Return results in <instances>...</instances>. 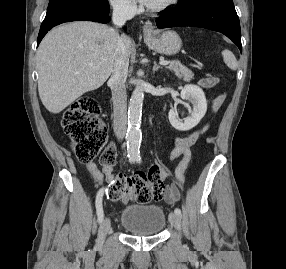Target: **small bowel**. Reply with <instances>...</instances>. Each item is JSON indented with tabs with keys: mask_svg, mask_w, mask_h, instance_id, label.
I'll return each mask as SVG.
<instances>
[{
	"mask_svg": "<svg viewBox=\"0 0 286 269\" xmlns=\"http://www.w3.org/2000/svg\"><path fill=\"white\" fill-rule=\"evenodd\" d=\"M201 84L205 87H208V83ZM216 106L218 109L220 105ZM205 129L206 126H203L190 134L176 138L174 149L170 154V160L173 161L174 159L179 157L181 158V160L175 169L176 183L168 186L167 192L163 198L166 203L174 204L179 199L180 185H182L185 181V171L193 161L191 148L196 143L198 137L205 131ZM86 168L98 184H109L116 177V175L113 173V166H102V169L100 170L95 163L89 162L86 164ZM162 173L164 180L165 178H167L168 172L166 169L162 168Z\"/></svg>",
	"mask_w": 286,
	"mask_h": 269,
	"instance_id": "small-bowel-1",
	"label": "small bowel"
}]
</instances>
